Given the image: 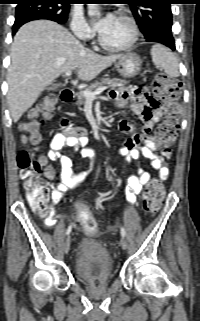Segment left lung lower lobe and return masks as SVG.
I'll list each match as a JSON object with an SVG mask.
<instances>
[{
  "label": "left lung lower lobe",
  "instance_id": "obj_1",
  "mask_svg": "<svg viewBox=\"0 0 200 321\" xmlns=\"http://www.w3.org/2000/svg\"><path fill=\"white\" fill-rule=\"evenodd\" d=\"M147 41H149V40H147ZM150 41H154V42H158V43L164 44L167 47L171 48L172 50H175V44H174L173 37H165V38L154 39V40H150Z\"/></svg>",
  "mask_w": 200,
  "mask_h": 321
}]
</instances>
